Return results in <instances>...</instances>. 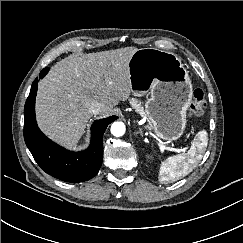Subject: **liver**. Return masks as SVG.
Listing matches in <instances>:
<instances>
[{
    "label": "liver",
    "mask_w": 243,
    "mask_h": 243,
    "mask_svg": "<svg viewBox=\"0 0 243 243\" xmlns=\"http://www.w3.org/2000/svg\"><path fill=\"white\" fill-rule=\"evenodd\" d=\"M138 49L125 47L69 56L40 81L36 117L40 129L65 147H74L92 117L89 103L104 104L107 116L131 92L129 61Z\"/></svg>",
    "instance_id": "6515ba94"
}]
</instances>
